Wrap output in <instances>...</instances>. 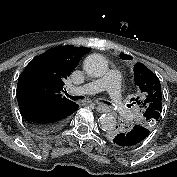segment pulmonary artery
Returning <instances> with one entry per match:
<instances>
[{
  "mask_svg": "<svg viewBox=\"0 0 177 177\" xmlns=\"http://www.w3.org/2000/svg\"><path fill=\"white\" fill-rule=\"evenodd\" d=\"M121 74L118 70H110L100 79L72 88L70 92L76 95L95 94L104 89L108 90V99L115 108H122L123 96L120 90Z\"/></svg>",
  "mask_w": 177,
  "mask_h": 177,
  "instance_id": "1",
  "label": "pulmonary artery"
}]
</instances>
